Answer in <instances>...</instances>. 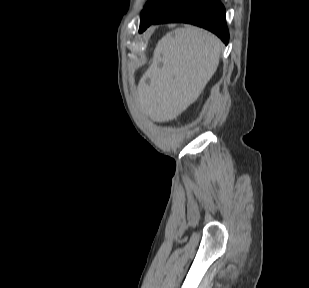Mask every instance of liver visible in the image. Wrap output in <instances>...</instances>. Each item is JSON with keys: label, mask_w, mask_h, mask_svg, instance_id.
I'll return each mask as SVG.
<instances>
[{"label": "liver", "mask_w": 309, "mask_h": 288, "mask_svg": "<svg viewBox=\"0 0 309 288\" xmlns=\"http://www.w3.org/2000/svg\"><path fill=\"white\" fill-rule=\"evenodd\" d=\"M222 49L215 35L195 26L167 33L157 43L153 61L139 81L141 110L156 122L177 118L197 100L216 72Z\"/></svg>", "instance_id": "obj_1"}]
</instances>
